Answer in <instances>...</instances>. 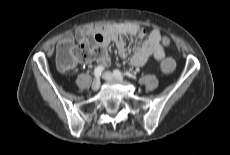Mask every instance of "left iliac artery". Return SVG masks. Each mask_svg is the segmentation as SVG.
<instances>
[{
	"label": "left iliac artery",
	"instance_id": "left-iliac-artery-1",
	"mask_svg": "<svg viewBox=\"0 0 230 155\" xmlns=\"http://www.w3.org/2000/svg\"><path fill=\"white\" fill-rule=\"evenodd\" d=\"M113 74H114L116 77H122V78L124 77V74H122L121 71H119V70H117V69L113 71Z\"/></svg>",
	"mask_w": 230,
	"mask_h": 155
}]
</instances>
